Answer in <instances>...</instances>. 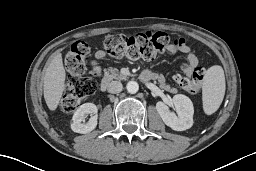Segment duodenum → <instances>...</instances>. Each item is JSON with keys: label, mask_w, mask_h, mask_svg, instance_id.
<instances>
[{"label": "duodenum", "mask_w": 256, "mask_h": 171, "mask_svg": "<svg viewBox=\"0 0 256 171\" xmlns=\"http://www.w3.org/2000/svg\"><path fill=\"white\" fill-rule=\"evenodd\" d=\"M148 77H149V76L146 75V74H142V75H141V79H142L143 81L149 80ZM111 80H112V76L104 77V78L102 79L101 83H100V90L103 91V92H105V91L107 90V88H108V86H109Z\"/></svg>", "instance_id": "duodenum-1"}]
</instances>
